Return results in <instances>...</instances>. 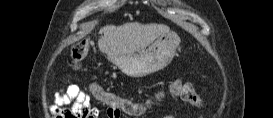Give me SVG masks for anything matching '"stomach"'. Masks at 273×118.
I'll return each instance as SVG.
<instances>
[{
    "label": "stomach",
    "mask_w": 273,
    "mask_h": 118,
    "mask_svg": "<svg viewBox=\"0 0 273 118\" xmlns=\"http://www.w3.org/2000/svg\"><path fill=\"white\" fill-rule=\"evenodd\" d=\"M180 38L175 32L160 35L148 48L133 54L109 56L125 75L144 77L165 68L173 59Z\"/></svg>",
    "instance_id": "0dacf381"
}]
</instances>
